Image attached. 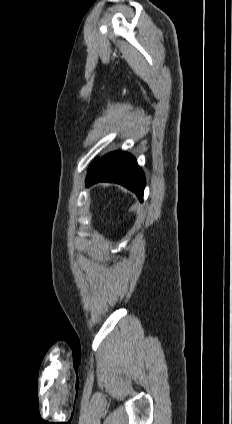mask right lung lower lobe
Wrapping results in <instances>:
<instances>
[{
  "label": "right lung lower lobe",
  "mask_w": 232,
  "mask_h": 424,
  "mask_svg": "<svg viewBox=\"0 0 232 424\" xmlns=\"http://www.w3.org/2000/svg\"><path fill=\"white\" fill-rule=\"evenodd\" d=\"M97 182H115L134 192L143 200L145 176L135 158L124 152H112L96 160L90 168L86 185Z\"/></svg>",
  "instance_id": "98d812e1"
}]
</instances>
